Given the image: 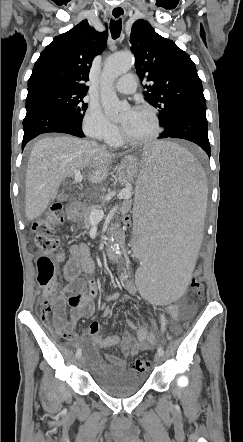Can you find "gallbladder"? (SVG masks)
Instances as JSON below:
<instances>
[{"label": "gallbladder", "instance_id": "bac80fb5", "mask_svg": "<svg viewBox=\"0 0 243 442\" xmlns=\"http://www.w3.org/2000/svg\"><path fill=\"white\" fill-rule=\"evenodd\" d=\"M57 198H58V200H60V201H64V200L67 199V195H66L64 192H62L61 194L58 195Z\"/></svg>", "mask_w": 243, "mask_h": 442}]
</instances>
